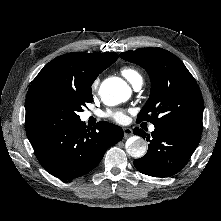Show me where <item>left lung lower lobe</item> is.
I'll return each mask as SVG.
<instances>
[{
    "label": "left lung lower lobe",
    "instance_id": "left-lung-lower-lobe-1",
    "mask_svg": "<svg viewBox=\"0 0 221 221\" xmlns=\"http://www.w3.org/2000/svg\"><path fill=\"white\" fill-rule=\"evenodd\" d=\"M133 133L150 142L145 156L134 160V166L143 174L169 177L178 173L197 148L201 136L168 127L155 126L151 136L142 129Z\"/></svg>",
    "mask_w": 221,
    "mask_h": 221
}]
</instances>
